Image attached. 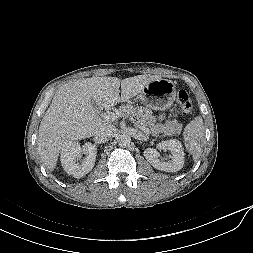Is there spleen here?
Segmentation results:
<instances>
[{
  "label": "spleen",
  "instance_id": "1",
  "mask_svg": "<svg viewBox=\"0 0 253 253\" xmlns=\"http://www.w3.org/2000/svg\"><path fill=\"white\" fill-rule=\"evenodd\" d=\"M204 132L205 128L201 116L195 117L184 129L185 147L194 161H197L203 152Z\"/></svg>",
  "mask_w": 253,
  "mask_h": 253
}]
</instances>
